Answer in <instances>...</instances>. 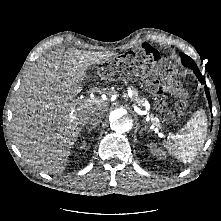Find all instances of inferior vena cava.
Listing matches in <instances>:
<instances>
[{
	"instance_id": "602c4592",
	"label": "inferior vena cava",
	"mask_w": 221,
	"mask_h": 221,
	"mask_svg": "<svg viewBox=\"0 0 221 221\" xmlns=\"http://www.w3.org/2000/svg\"><path fill=\"white\" fill-rule=\"evenodd\" d=\"M103 116L99 113L94 114L90 119L88 124L92 126H97L101 123Z\"/></svg>"
}]
</instances>
